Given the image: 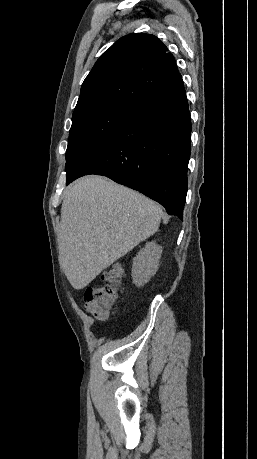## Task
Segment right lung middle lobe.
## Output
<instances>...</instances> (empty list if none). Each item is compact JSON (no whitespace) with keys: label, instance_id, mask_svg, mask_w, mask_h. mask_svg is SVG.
<instances>
[{"label":"right lung middle lobe","instance_id":"right-lung-middle-lobe-1","mask_svg":"<svg viewBox=\"0 0 257 459\" xmlns=\"http://www.w3.org/2000/svg\"><path fill=\"white\" fill-rule=\"evenodd\" d=\"M134 112L125 106H108L72 119L66 151L67 178L106 146Z\"/></svg>","mask_w":257,"mask_h":459}]
</instances>
